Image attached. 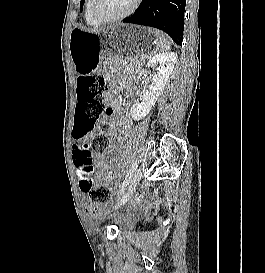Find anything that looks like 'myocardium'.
Here are the masks:
<instances>
[{"label": "myocardium", "instance_id": "myocardium-1", "mask_svg": "<svg viewBox=\"0 0 265 273\" xmlns=\"http://www.w3.org/2000/svg\"><path fill=\"white\" fill-rule=\"evenodd\" d=\"M140 2H141V0H134L132 6L126 12H124L120 15H117L114 17H103L97 11L98 0H91L90 13L94 17V19H96L101 24L115 23V22L121 21V20L129 17L130 15H132L136 11V9L138 8Z\"/></svg>", "mask_w": 265, "mask_h": 273}]
</instances>
